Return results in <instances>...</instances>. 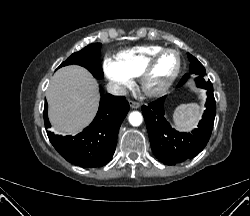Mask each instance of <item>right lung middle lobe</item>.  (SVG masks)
<instances>
[{
    "label": "right lung middle lobe",
    "instance_id": "dd1d6c3e",
    "mask_svg": "<svg viewBox=\"0 0 250 216\" xmlns=\"http://www.w3.org/2000/svg\"><path fill=\"white\" fill-rule=\"evenodd\" d=\"M100 49L101 44H90L80 50L73 53L66 61H64L59 67L69 64H77L88 69L95 78H103V70L100 63Z\"/></svg>",
    "mask_w": 250,
    "mask_h": 216
}]
</instances>
